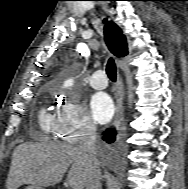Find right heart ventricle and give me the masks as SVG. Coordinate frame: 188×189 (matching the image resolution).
<instances>
[{
  "mask_svg": "<svg viewBox=\"0 0 188 189\" xmlns=\"http://www.w3.org/2000/svg\"><path fill=\"white\" fill-rule=\"evenodd\" d=\"M40 127L47 138L59 136L55 118L46 109L40 112Z\"/></svg>",
  "mask_w": 188,
  "mask_h": 189,
  "instance_id": "e07e8e85",
  "label": "right heart ventricle"
}]
</instances>
